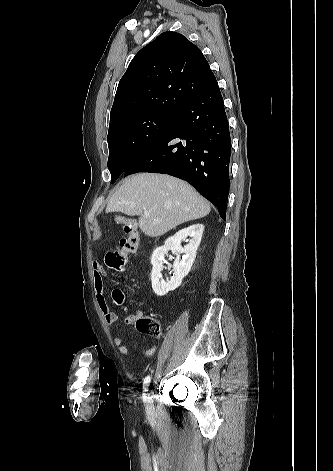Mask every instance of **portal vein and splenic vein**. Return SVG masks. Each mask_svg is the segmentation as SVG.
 Instances as JSON below:
<instances>
[{"instance_id":"obj_1","label":"portal vein and splenic vein","mask_w":333,"mask_h":471,"mask_svg":"<svg viewBox=\"0 0 333 471\" xmlns=\"http://www.w3.org/2000/svg\"><path fill=\"white\" fill-rule=\"evenodd\" d=\"M144 212H145V213H147V211H146V210H145ZM157 222H160V221H159V220H157Z\"/></svg>"}]
</instances>
